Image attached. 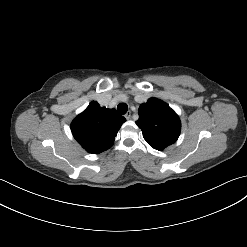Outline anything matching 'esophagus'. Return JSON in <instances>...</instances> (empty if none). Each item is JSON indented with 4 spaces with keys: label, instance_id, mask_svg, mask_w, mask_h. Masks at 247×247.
Segmentation results:
<instances>
[{
    "label": "esophagus",
    "instance_id": "1",
    "mask_svg": "<svg viewBox=\"0 0 247 247\" xmlns=\"http://www.w3.org/2000/svg\"><path fill=\"white\" fill-rule=\"evenodd\" d=\"M124 117L126 119H130L131 118V111L126 112L125 115H124Z\"/></svg>",
    "mask_w": 247,
    "mask_h": 247
}]
</instances>
